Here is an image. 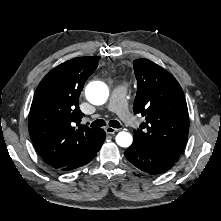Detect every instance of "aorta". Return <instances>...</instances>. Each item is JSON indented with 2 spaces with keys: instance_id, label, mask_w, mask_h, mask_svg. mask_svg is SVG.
<instances>
[{
  "instance_id": "obj_1",
  "label": "aorta",
  "mask_w": 221,
  "mask_h": 221,
  "mask_svg": "<svg viewBox=\"0 0 221 221\" xmlns=\"http://www.w3.org/2000/svg\"><path fill=\"white\" fill-rule=\"evenodd\" d=\"M87 100L94 105L104 104L109 96V90L105 83L94 81L87 85L85 90ZM132 135L128 132H119L116 135V143L121 147H129L132 144Z\"/></svg>"
}]
</instances>
